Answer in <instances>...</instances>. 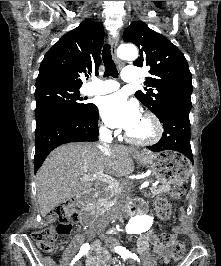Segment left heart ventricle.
<instances>
[{
    "label": "left heart ventricle",
    "mask_w": 221,
    "mask_h": 266,
    "mask_svg": "<svg viewBox=\"0 0 221 266\" xmlns=\"http://www.w3.org/2000/svg\"><path fill=\"white\" fill-rule=\"evenodd\" d=\"M135 137H146L150 133V126L146 120L141 119L137 126L129 131Z\"/></svg>",
    "instance_id": "left-heart-ventricle-1"
}]
</instances>
